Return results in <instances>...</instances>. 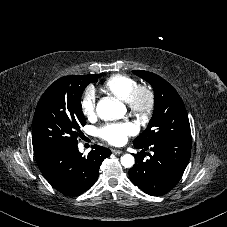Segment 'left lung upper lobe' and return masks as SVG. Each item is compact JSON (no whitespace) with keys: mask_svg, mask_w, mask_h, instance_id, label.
Wrapping results in <instances>:
<instances>
[{"mask_svg":"<svg viewBox=\"0 0 227 227\" xmlns=\"http://www.w3.org/2000/svg\"><path fill=\"white\" fill-rule=\"evenodd\" d=\"M133 73L153 86L155 96L152 118L145 131L134 140V144L149 145L162 140L191 138L184 103L173 86L148 71H133Z\"/></svg>","mask_w":227,"mask_h":227,"instance_id":"1","label":"left lung upper lobe"}]
</instances>
